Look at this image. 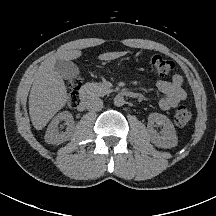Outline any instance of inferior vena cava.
<instances>
[{
	"mask_svg": "<svg viewBox=\"0 0 216 216\" xmlns=\"http://www.w3.org/2000/svg\"><path fill=\"white\" fill-rule=\"evenodd\" d=\"M103 108V101L100 98L93 97L87 102V109L89 111H100Z\"/></svg>",
	"mask_w": 216,
	"mask_h": 216,
	"instance_id": "602c4592",
	"label": "inferior vena cava"
}]
</instances>
